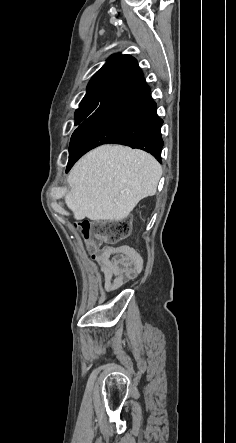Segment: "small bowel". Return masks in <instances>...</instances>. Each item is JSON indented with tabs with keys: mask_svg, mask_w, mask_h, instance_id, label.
Returning a JSON list of instances; mask_svg holds the SVG:
<instances>
[{
	"mask_svg": "<svg viewBox=\"0 0 236 443\" xmlns=\"http://www.w3.org/2000/svg\"><path fill=\"white\" fill-rule=\"evenodd\" d=\"M103 275L104 287L108 291L121 288L141 271L143 261L139 253L129 246H108L96 254Z\"/></svg>",
	"mask_w": 236,
	"mask_h": 443,
	"instance_id": "1",
	"label": "small bowel"
}]
</instances>
